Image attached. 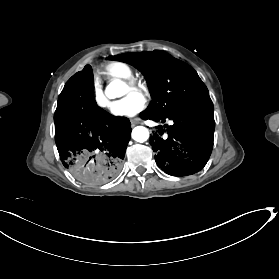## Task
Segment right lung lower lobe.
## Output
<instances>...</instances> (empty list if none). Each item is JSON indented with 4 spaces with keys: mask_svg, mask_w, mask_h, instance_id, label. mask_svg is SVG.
I'll return each mask as SVG.
<instances>
[{
    "mask_svg": "<svg viewBox=\"0 0 279 279\" xmlns=\"http://www.w3.org/2000/svg\"><path fill=\"white\" fill-rule=\"evenodd\" d=\"M92 84L90 65L65 84L54 114L55 142L62 164L76 179L101 185L122 169L131 124L96 104Z\"/></svg>",
    "mask_w": 279,
    "mask_h": 279,
    "instance_id": "1",
    "label": "right lung lower lobe"
}]
</instances>
